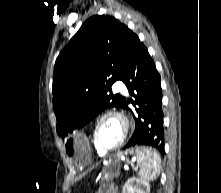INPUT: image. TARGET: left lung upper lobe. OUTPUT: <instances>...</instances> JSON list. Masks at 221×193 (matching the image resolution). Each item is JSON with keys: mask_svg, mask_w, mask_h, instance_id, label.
Here are the masks:
<instances>
[{"mask_svg": "<svg viewBox=\"0 0 221 193\" xmlns=\"http://www.w3.org/2000/svg\"><path fill=\"white\" fill-rule=\"evenodd\" d=\"M138 36L112 16L84 22L59 54L53 75L57 133L65 137L105 108L125 107L126 99L110 86L122 80L140 44Z\"/></svg>", "mask_w": 221, "mask_h": 193, "instance_id": "1", "label": "left lung upper lobe"}]
</instances>
